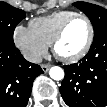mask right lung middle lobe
Here are the masks:
<instances>
[{
    "label": "right lung middle lobe",
    "instance_id": "obj_1",
    "mask_svg": "<svg viewBox=\"0 0 107 107\" xmlns=\"http://www.w3.org/2000/svg\"><path fill=\"white\" fill-rule=\"evenodd\" d=\"M25 12L5 2H0V44L15 47L13 32L16 25L25 18Z\"/></svg>",
    "mask_w": 107,
    "mask_h": 107
}]
</instances>
